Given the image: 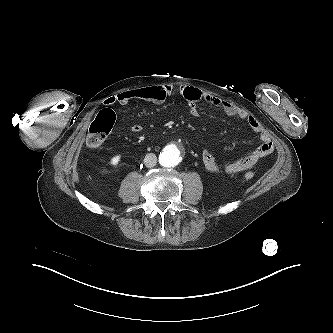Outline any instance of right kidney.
<instances>
[{"label":"right kidney","mask_w":333,"mask_h":333,"mask_svg":"<svg viewBox=\"0 0 333 333\" xmlns=\"http://www.w3.org/2000/svg\"><path fill=\"white\" fill-rule=\"evenodd\" d=\"M121 161V155H116L111 158L110 164L116 166Z\"/></svg>","instance_id":"1"}]
</instances>
